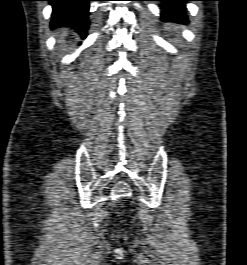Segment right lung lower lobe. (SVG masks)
I'll list each match as a JSON object with an SVG mask.
<instances>
[{
	"mask_svg": "<svg viewBox=\"0 0 247 265\" xmlns=\"http://www.w3.org/2000/svg\"><path fill=\"white\" fill-rule=\"evenodd\" d=\"M52 4L51 27L71 26L83 37L89 26V1L93 0H46Z\"/></svg>",
	"mask_w": 247,
	"mask_h": 265,
	"instance_id": "right-lung-lower-lobe-1",
	"label": "right lung lower lobe"
}]
</instances>
